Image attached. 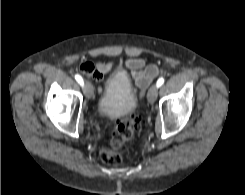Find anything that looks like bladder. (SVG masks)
Returning a JSON list of instances; mask_svg holds the SVG:
<instances>
[{
    "instance_id": "1",
    "label": "bladder",
    "mask_w": 245,
    "mask_h": 195,
    "mask_svg": "<svg viewBox=\"0 0 245 195\" xmlns=\"http://www.w3.org/2000/svg\"><path fill=\"white\" fill-rule=\"evenodd\" d=\"M136 106L137 99L126 72H114L98 100V114L104 118L116 119L129 115Z\"/></svg>"
}]
</instances>
